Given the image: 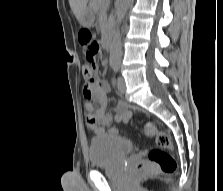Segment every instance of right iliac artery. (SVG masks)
I'll use <instances>...</instances> for the list:
<instances>
[{
	"instance_id": "right-iliac-artery-1",
	"label": "right iliac artery",
	"mask_w": 223,
	"mask_h": 191,
	"mask_svg": "<svg viewBox=\"0 0 223 191\" xmlns=\"http://www.w3.org/2000/svg\"><path fill=\"white\" fill-rule=\"evenodd\" d=\"M115 84H116V80L114 79V80H113V85H115Z\"/></svg>"
}]
</instances>
